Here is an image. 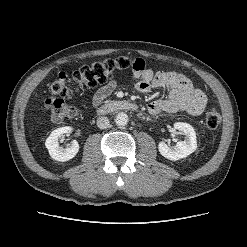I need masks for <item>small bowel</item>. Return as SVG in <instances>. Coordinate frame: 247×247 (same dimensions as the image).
Returning a JSON list of instances; mask_svg holds the SVG:
<instances>
[{"label": "small bowel", "instance_id": "obj_1", "mask_svg": "<svg viewBox=\"0 0 247 247\" xmlns=\"http://www.w3.org/2000/svg\"><path fill=\"white\" fill-rule=\"evenodd\" d=\"M133 76L138 80L136 89L139 92L148 93L155 88L168 91L166 98L155 100L148 105L151 114L184 112L197 116L204 111L206 95L196 89L183 72L158 71L154 73L146 68L144 60L137 58L134 59ZM115 87L116 82L110 80L98 88L93 94V104H98L107 98Z\"/></svg>", "mask_w": 247, "mask_h": 247}]
</instances>
